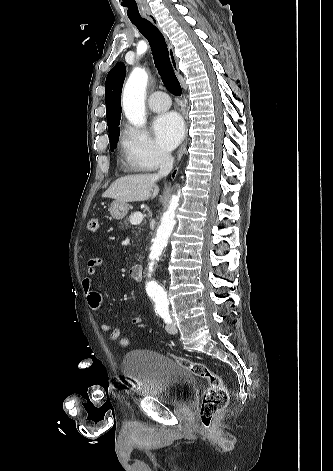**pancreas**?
Returning <instances> with one entry per match:
<instances>
[{
  "instance_id": "cf45deb5",
  "label": "pancreas",
  "mask_w": 333,
  "mask_h": 471,
  "mask_svg": "<svg viewBox=\"0 0 333 471\" xmlns=\"http://www.w3.org/2000/svg\"><path fill=\"white\" fill-rule=\"evenodd\" d=\"M134 214V212L131 213V215L129 217H127L122 223H121V229H127L128 226H129V222H130V219H131V216Z\"/></svg>"
}]
</instances>
